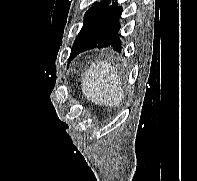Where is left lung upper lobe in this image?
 Here are the masks:
<instances>
[{"mask_svg": "<svg viewBox=\"0 0 197 181\" xmlns=\"http://www.w3.org/2000/svg\"><path fill=\"white\" fill-rule=\"evenodd\" d=\"M111 0H101L100 2H95L93 6L85 13L84 25L78 34L73 47L71 49V54L69 57V62L78 55V51L84 46L89 37L91 36L93 30L97 26L98 22L105 14L109 8Z\"/></svg>", "mask_w": 197, "mask_h": 181, "instance_id": "5c2ea615", "label": "left lung upper lobe"}]
</instances>
